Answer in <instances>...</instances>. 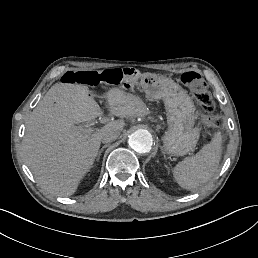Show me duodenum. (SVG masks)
Wrapping results in <instances>:
<instances>
[{"label": "duodenum", "instance_id": "410a0bca", "mask_svg": "<svg viewBox=\"0 0 258 258\" xmlns=\"http://www.w3.org/2000/svg\"><path fill=\"white\" fill-rule=\"evenodd\" d=\"M122 76L129 78L132 77L134 75V70L131 68H123L121 70Z\"/></svg>", "mask_w": 258, "mask_h": 258}]
</instances>
